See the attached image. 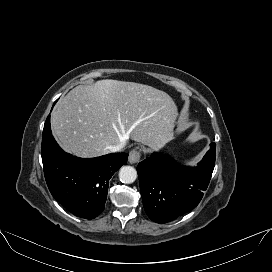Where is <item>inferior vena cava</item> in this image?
Masks as SVG:
<instances>
[{
	"label": "inferior vena cava",
	"instance_id": "1",
	"mask_svg": "<svg viewBox=\"0 0 272 272\" xmlns=\"http://www.w3.org/2000/svg\"><path fill=\"white\" fill-rule=\"evenodd\" d=\"M123 147H124V144L119 143V144H117V145L109 146L108 149H109L111 152H119V151L122 150Z\"/></svg>",
	"mask_w": 272,
	"mask_h": 272
}]
</instances>
